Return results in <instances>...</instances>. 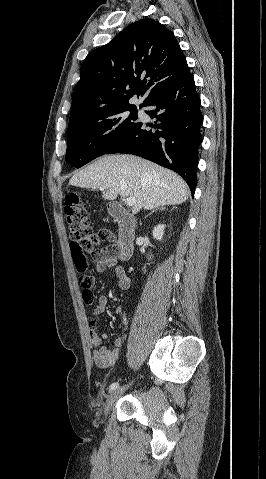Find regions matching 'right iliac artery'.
I'll return each instance as SVG.
<instances>
[{
  "mask_svg": "<svg viewBox=\"0 0 266 479\" xmlns=\"http://www.w3.org/2000/svg\"><path fill=\"white\" fill-rule=\"evenodd\" d=\"M118 386H119L118 383H116V382H115V383H112V384L110 385V391L115 390Z\"/></svg>",
  "mask_w": 266,
  "mask_h": 479,
  "instance_id": "1",
  "label": "right iliac artery"
}]
</instances>
